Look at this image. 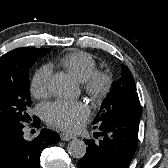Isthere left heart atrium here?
<instances>
[{"instance_id": "obj_1", "label": "left heart atrium", "mask_w": 168, "mask_h": 168, "mask_svg": "<svg viewBox=\"0 0 168 168\" xmlns=\"http://www.w3.org/2000/svg\"><path fill=\"white\" fill-rule=\"evenodd\" d=\"M89 116V107L81 101H57L45 110V118L50 125L68 132L81 129Z\"/></svg>"}]
</instances>
